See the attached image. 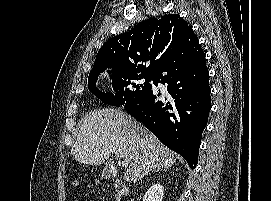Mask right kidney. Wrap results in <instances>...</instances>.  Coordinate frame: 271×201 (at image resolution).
Here are the masks:
<instances>
[{
    "label": "right kidney",
    "instance_id": "right-kidney-1",
    "mask_svg": "<svg viewBox=\"0 0 271 201\" xmlns=\"http://www.w3.org/2000/svg\"><path fill=\"white\" fill-rule=\"evenodd\" d=\"M164 187L160 184H153L144 194L143 201H162Z\"/></svg>",
    "mask_w": 271,
    "mask_h": 201
}]
</instances>
